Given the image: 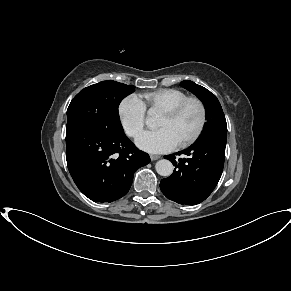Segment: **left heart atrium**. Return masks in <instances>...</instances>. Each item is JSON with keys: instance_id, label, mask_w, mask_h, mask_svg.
<instances>
[{"instance_id": "obj_1", "label": "left heart atrium", "mask_w": 291, "mask_h": 291, "mask_svg": "<svg viewBox=\"0 0 291 291\" xmlns=\"http://www.w3.org/2000/svg\"><path fill=\"white\" fill-rule=\"evenodd\" d=\"M136 144L150 153L168 152L178 145L175 138L165 128L143 132L136 139Z\"/></svg>"}]
</instances>
